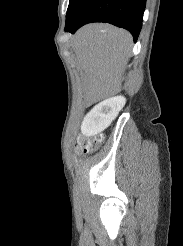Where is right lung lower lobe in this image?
Wrapping results in <instances>:
<instances>
[{"instance_id":"obj_1","label":"right lung lower lobe","mask_w":183,"mask_h":246,"mask_svg":"<svg viewBox=\"0 0 183 246\" xmlns=\"http://www.w3.org/2000/svg\"><path fill=\"white\" fill-rule=\"evenodd\" d=\"M146 0H81L66 19L65 31L74 33L84 24L107 22L127 29L136 42L143 22Z\"/></svg>"}]
</instances>
